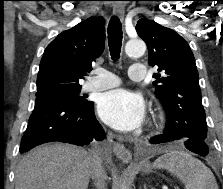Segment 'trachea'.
<instances>
[{"mask_svg":"<svg viewBox=\"0 0 223 189\" xmlns=\"http://www.w3.org/2000/svg\"><path fill=\"white\" fill-rule=\"evenodd\" d=\"M122 38L120 20L117 17H112L108 25V44L113 61H117L120 57Z\"/></svg>","mask_w":223,"mask_h":189,"instance_id":"3493384b","label":"trachea"}]
</instances>
